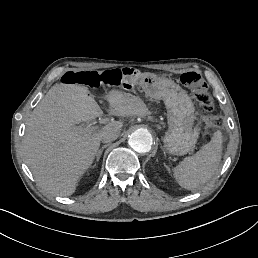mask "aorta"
<instances>
[{
	"instance_id": "obj_1",
	"label": "aorta",
	"mask_w": 258,
	"mask_h": 258,
	"mask_svg": "<svg viewBox=\"0 0 258 258\" xmlns=\"http://www.w3.org/2000/svg\"><path fill=\"white\" fill-rule=\"evenodd\" d=\"M128 143L136 152L146 153L151 150L153 138L148 130L138 129L129 136Z\"/></svg>"
}]
</instances>
